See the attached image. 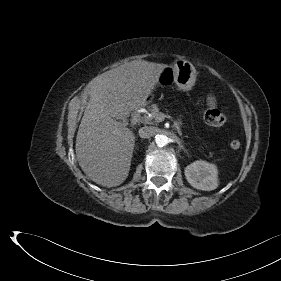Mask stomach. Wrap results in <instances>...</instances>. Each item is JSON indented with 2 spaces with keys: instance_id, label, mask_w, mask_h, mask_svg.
<instances>
[{
  "instance_id": "0dacf381",
  "label": "stomach",
  "mask_w": 281,
  "mask_h": 281,
  "mask_svg": "<svg viewBox=\"0 0 281 281\" xmlns=\"http://www.w3.org/2000/svg\"><path fill=\"white\" fill-rule=\"evenodd\" d=\"M165 79L174 82L180 90H190L196 81V70L188 61H178L174 66L166 67L161 76L160 83Z\"/></svg>"
}]
</instances>
